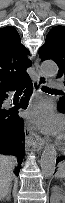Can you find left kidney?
<instances>
[{"mask_svg":"<svg viewBox=\"0 0 65 203\" xmlns=\"http://www.w3.org/2000/svg\"><path fill=\"white\" fill-rule=\"evenodd\" d=\"M57 198L62 202V203H65V195L64 193L62 192V190H59L58 193H57ZM52 203V202H51Z\"/></svg>","mask_w":65,"mask_h":203,"instance_id":"left-kidney-1","label":"left kidney"}]
</instances>
